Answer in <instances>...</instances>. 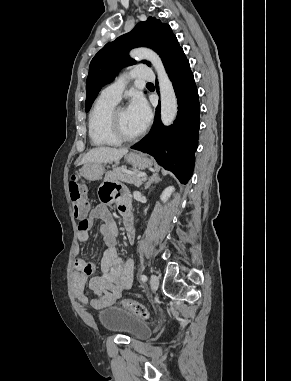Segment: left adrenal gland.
Returning a JSON list of instances; mask_svg holds the SVG:
<instances>
[{
	"instance_id": "a2214340",
	"label": "left adrenal gland",
	"mask_w": 291,
	"mask_h": 381,
	"mask_svg": "<svg viewBox=\"0 0 291 381\" xmlns=\"http://www.w3.org/2000/svg\"><path fill=\"white\" fill-rule=\"evenodd\" d=\"M161 181V178L158 176V173H154L151 177L146 179L145 189H148L152 183H158Z\"/></svg>"
}]
</instances>
